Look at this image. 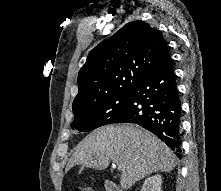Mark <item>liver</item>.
Instances as JSON below:
<instances>
[{
	"label": "liver",
	"instance_id": "liver-1",
	"mask_svg": "<svg viewBox=\"0 0 221 191\" xmlns=\"http://www.w3.org/2000/svg\"><path fill=\"white\" fill-rule=\"evenodd\" d=\"M110 161L121 170V187L130 188L153 172H169L176 156L151 132L133 124L100 127L87 135L75 148L68 169L74 165L105 169Z\"/></svg>",
	"mask_w": 221,
	"mask_h": 191
}]
</instances>
